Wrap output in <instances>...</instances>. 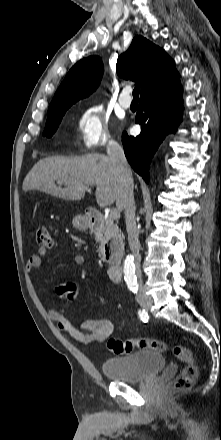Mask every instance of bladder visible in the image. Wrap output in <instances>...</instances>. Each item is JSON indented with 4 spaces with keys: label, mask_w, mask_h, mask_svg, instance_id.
Wrapping results in <instances>:
<instances>
[{
    "label": "bladder",
    "mask_w": 221,
    "mask_h": 440,
    "mask_svg": "<svg viewBox=\"0 0 221 440\" xmlns=\"http://www.w3.org/2000/svg\"><path fill=\"white\" fill-rule=\"evenodd\" d=\"M165 365L166 360L161 353L141 350L107 358L102 362L101 369L110 380L139 383L158 375Z\"/></svg>",
    "instance_id": "obj_1"
}]
</instances>
